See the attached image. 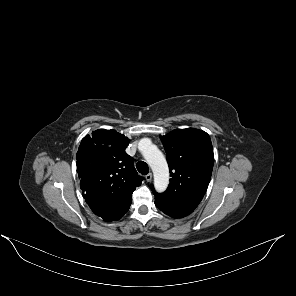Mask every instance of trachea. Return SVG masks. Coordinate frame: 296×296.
<instances>
[{
  "label": "trachea",
  "instance_id": "obj_1",
  "mask_svg": "<svg viewBox=\"0 0 296 296\" xmlns=\"http://www.w3.org/2000/svg\"><path fill=\"white\" fill-rule=\"evenodd\" d=\"M136 168L143 175H146L149 173V167H148L147 163L144 161H139L136 164Z\"/></svg>",
  "mask_w": 296,
  "mask_h": 296
}]
</instances>
